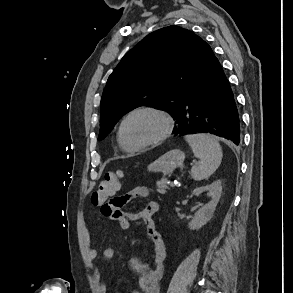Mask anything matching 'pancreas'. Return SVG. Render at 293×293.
Returning a JSON list of instances; mask_svg holds the SVG:
<instances>
[{"label":"pancreas","mask_w":293,"mask_h":293,"mask_svg":"<svg viewBox=\"0 0 293 293\" xmlns=\"http://www.w3.org/2000/svg\"><path fill=\"white\" fill-rule=\"evenodd\" d=\"M169 190V182L166 178H162L157 182V192L165 194Z\"/></svg>","instance_id":"obj_1"}]
</instances>
